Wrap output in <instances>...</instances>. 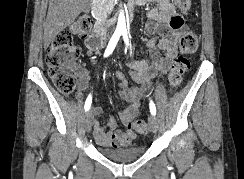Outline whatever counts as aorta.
Returning <instances> with one entry per match:
<instances>
[{"instance_id": "aorta-1", "label": "aorta", "mask_w": 244, "mask_h": 179, "mask_svg": "<svg viewBox=\"0 0 244 179\" xmlns=\"http://www.w3.org/2000/svg\"><path fill=\"white\" fill-rule=\"evenodd\" d=\"M116 32H126V20L123 12H120Z\"/></svg>"}]
</instances>
